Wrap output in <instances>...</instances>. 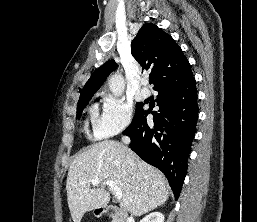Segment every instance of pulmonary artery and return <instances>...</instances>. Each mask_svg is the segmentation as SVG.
<instances>
[{
	"label": "pulmonary artery",
	"instance_id": "pulmonary-artery-1",
	"mask_svg": "<svg viewBox=\"0 0 257 222\" xmlns=\"http://www.w3.org/2000/svg\"><path fill=\"white\" fill-rule=\"evenodd\" d=\"M142 88H141V95L143 98H148L150 96V90L146 87L147 85V79L144 78L141 82Z\"/></svg>",
	"mask_w": 257,
	"mask_h": 222
}]
</instances>
